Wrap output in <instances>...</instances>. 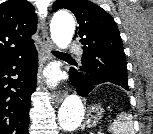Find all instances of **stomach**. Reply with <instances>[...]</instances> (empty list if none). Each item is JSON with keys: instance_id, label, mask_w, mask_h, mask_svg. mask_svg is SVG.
<instances>
[{"instance_id": "0dacf381", "label": "stomach", "mask_w": 153, "mask_h": 134, "mask_svg": "<svg viewBox=\"0 0 153 134\" xmlns=\"http://www.w3.org/2000/svg\"><path fill=\"white\" fill-rule=\"evenodd\" d=\"M104 109L100 105L89 107L87 113V125L95 126L96 123L103 117Z\"/></svg>"}]
</instances>
